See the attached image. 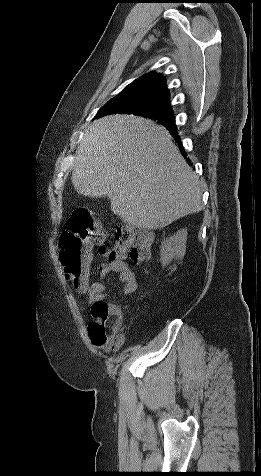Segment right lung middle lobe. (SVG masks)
<instances>
[{
	"label": "right lung middle lobe",
	"mask_w": 261,
	"mask_h": 476,
	"mask_svg": "<svg viewBox=\"0 0 261 476\" xmlns=\"http://www.w3.org/2000/svg\"><path fill=\"white\" fill-rule=\"evenodd\" d=\"M126 113L151 118L161 124L174 123L171 107L157 101L121 102L119 97L111 99L97 113L95 118L108 114Z\"/></svg>",
	"instance_id": "obj_1"
}]
</instances>
